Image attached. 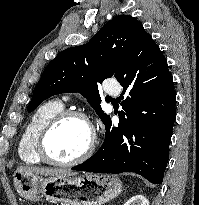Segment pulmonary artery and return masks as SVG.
Masks as SVG:
<instances>
[{
    "label": "pulmonary artery",
    "mask_w": 199,
    "mask_h": 205,
    "mask_svg": "<svg viewBox=\"0 0 199 205\" xmlns=\"http://www.w3.org/2000/svg\"><path fill=\"white\" fill-rule=\"evenodd\" d=\"M105 91L111 95H116L119 93L120 89L117 86L111 87V86H107L105 87ZM68 98H66L67 100Z\"/></svg>",
    "instance_id": "obj_1"
}]
</instances>
